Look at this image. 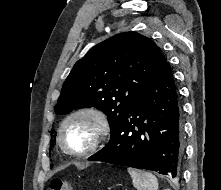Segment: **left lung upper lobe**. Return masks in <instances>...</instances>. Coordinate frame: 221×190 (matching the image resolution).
<instances>
[{
	"label": "left lung upper lobe",
	"instance_id": "left-lung-upper-lobe-1",
	"mask_svg": "<svg viewBox=\"0 0 221 190\" xmlns=\"http://www.w3.org/2000/svg\"><path fill=\"white\" fill-rule=\"evenodd\" d=\"M167 62L160 48L136 32L113 36L78 60L65 80L55 113L96 107L110 129L134 106L137 97Z\"/></svg>",
	"mask_w": 221,
	"mask_h": 190
}]
</instances>
